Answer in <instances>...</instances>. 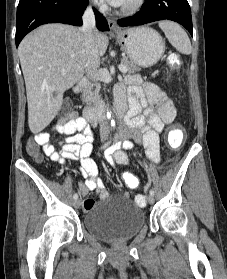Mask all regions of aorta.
I'll return each instance as SVG.
<instances>
[{"instance_id":"762f6f07","label":"aorta","mask_w":227,"mask_h":279,"mask_svg":"<svg viewBox=\"0 0 227 279\" xmlns=\"http://www.w3.org/2000/svg\"><path fill=\"white\" fill-rule=\"evenodd\" d=\"M107 117H108V118H111V113H110V112L107 113ZM111 123L114 124V121L111 120Z\"/></svg>"}]
</instances>
